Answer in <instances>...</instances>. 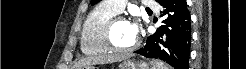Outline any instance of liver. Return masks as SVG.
<instances>
[{
    "label": "liver",
    "instance_id": "1",
    "mask_svg": "<svg viewBox=\"0 0 246 69\" xmlns=\"http://www.w3.org/2000/svg\"><path fill=\"white\" fill-rule=\"evenodd\" d=\"M126 59V56L117 55V54H108V55H101L95 57H87L81 59L78 63L74 65V69H80L82 67L90 66L92 64H106V63H113L118 62Z\"/></svg>",
    "mask_w": 246,
    "mask_h": 69
}]
</instances>
